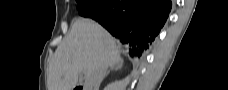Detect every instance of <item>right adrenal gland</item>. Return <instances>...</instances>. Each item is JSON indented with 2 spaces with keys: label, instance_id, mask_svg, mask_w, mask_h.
I'll return each instance as SVG.
<instances>
[{
  "label": "right adrenal gland",
  "instance_id": "1",
  "mask_svg": "<svg viewBox=\"0 0 228 90\" xmlns=\"http://www.w3.org/2000/svg\"><path fill=\"white\" fill-rule=\"evenodd\" d=\"M122 65H123V61H120V62H119L118 64H116L115 66H112V67L110 68V70H108V71L106 72L105 77H107V76L109 75V73H110L111 71H113V70H120L121 67H122Z\"/></svg>",
  "mask_w": 228,
  "mask_h": 90
}]
</instances>
